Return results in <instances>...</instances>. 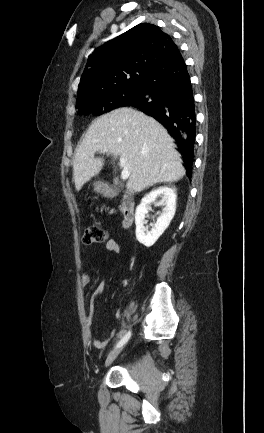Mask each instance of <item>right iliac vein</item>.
Wrapping results in <instances>:
<instances>
[{
  "label": "right iliac vein",
  "instance_id": "63e3f726",
  "mask_svg": "<svg viewBox=\"0 0 264 433\" xmlns=\"http://www.w3.org/2000/svg\"><path fill=\"white\" fill-rule=\"evenodd\" d=\"M123 349V346H120L118 348H115L112 350L109 355L106 358L105 361V367H108L112 364V362L117 358V356L120 354L121 350Z\"/></svg>",
  "mask_w": 264,
  "mask_h": 433
}]
</instances>
